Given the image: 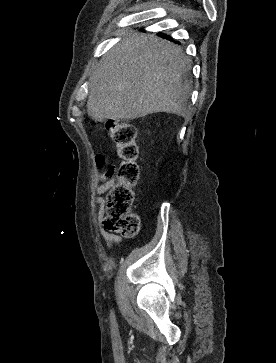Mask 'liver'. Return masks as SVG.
I'll return each instance as SVG.
<instances>
[{
  "mask_svg": "<svg viewBox=\"0 0 276 363\" xmlns=\"http://www.w3.org/2000/svg\"><path fill=\"white\" fill-rule=\"evenodd\" d=\"M190 60L177 45L135 35L114 46L90 79L88 115L126 120L166 112L186 117L191 95Z\"/></svg>",
  "mask_w": 276,
  "mask_h": 363,
  "instance_id": "1",
  "label": "liver"
}]
</instances>
